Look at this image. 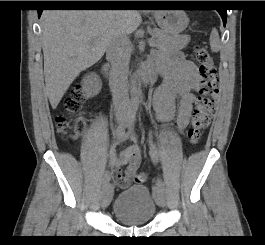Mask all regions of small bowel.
<instances>
[{
  "mask_svg": "<svg viewBox=\"0 0 265 245\" xmlns=\"http://www.w3.org/2000/svg\"><path fill=\"white\" fill-rule=\"evenodd\" d=\"M148 64L166 75L165 82L153 97L156 119L166 123L176 117L179 129L185 130L190 123L196 101L194 91L199 87L197 68L180 54L153 56ZM124 138L125 134L121 138H115L109 149L106 172L109 179L120 188H127L133 183L141 160V150L135 136L134 144L128 145L119 155L116 153L115 145Z\"/></svg>",
  "mask_w": 265,
  "mask_h": 245,
  "instance_id": "1",
  "label": "small bowel"
}]
</instances>
